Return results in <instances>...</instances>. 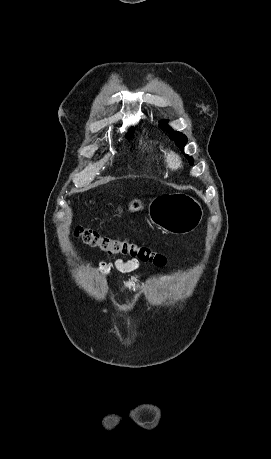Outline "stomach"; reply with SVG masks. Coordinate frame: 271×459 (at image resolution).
<instances>
[{"label":"stomach","mask_w":271,"mask_h":459,"mask_svg":"<svg viewBox=\"0 0 271 459\" xmlns=\"http://www.w3.org/2000/svg\"><path fill=\"white\" fill-rule=\"evenodd\" d=\"M143 206L140 200H133L129 212H139ZM152 224L168 233H190L199 226L203 210L196 200L186 194H163L151 200L148 208Z\"/></svg>","instance_id":"obj_1"}]
</instances>
